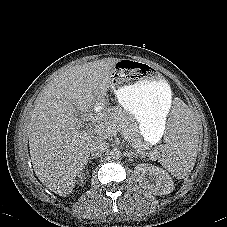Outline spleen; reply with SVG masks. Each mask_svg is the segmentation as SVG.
Wrapping results in <instances>:
<instances>
[{
  "instance_id": "spleen-1",
  "label": "spleen",
  "mask_w": 227,
  "mask_h": 227,
  "mask_svg": "<svg viewBox=\"0 0 227 227\" xmlns=\"http://www.w3.org/2000/svg\"><path fill=\"white\" fill-rule=\"evenodd\" d=\"M191 115L192 108L187 102H176L163 127V143L152 150L153 159L177 179L185 178L196 161L198 126Z\"/></svg>"
}]
</instances>
